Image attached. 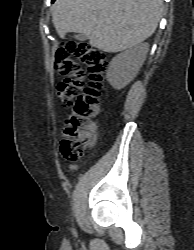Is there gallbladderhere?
<instances>
[{
    "label": "gallbladder",
    "instance_id": "1",
    "mask_svg": "<svg viewBox=\"0 0 194 250\" xmlns=\"http://www.w3.org/2000/svg\"><path fill=\"white\" fill-rule=\"evenodd\" d=\"M77 40H80V41H84L86 39H88V37L84 34H77L74 36Z\"/></svg>",
    "mask_w": 194,
    "mask_h": 250
}]
</instances>
